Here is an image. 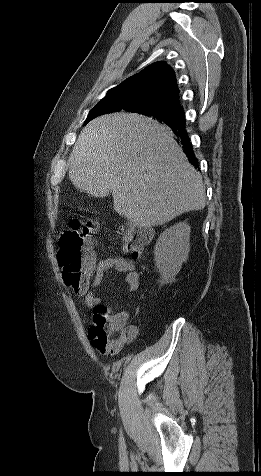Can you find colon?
<instances>
[{
    "label": "colon",
    "instance_id": "obj_1",
    "mask_svg": "<svg viewBox=\"0 0 261 476\" xmlns=\"http://www.w3.org/2000/svg\"><path fill=\"white\" fill-rule=\"evenodd\" d=\"M95 230L96 225L93 221L74 218L69 223V229L59 240L58 260L63 268V280L75 291L85 289L92 275L93 255L90 250V237ZM120 234L123 250L134 258L143 254L144 246L151 237L148 229L134 226H123ZM89 339L103 354L114 353L124 345L125 334L108 325V314L103 305L94 311Z\"/></svg>",
    "mask_w": 261,
    "mask_h": 476
}]
</instances>
